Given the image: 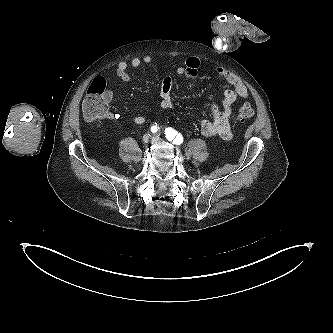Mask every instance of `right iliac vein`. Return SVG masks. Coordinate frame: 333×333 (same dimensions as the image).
Returning a JSON list of instances; mask_svg holds the SVG:
<instances>
[{"label": "right iliac vein", "mask_w": 333, "mask_h": 333, "mask_svg": "<svg viewBox=\"0 0 333 333\" xmlns=\"http://www.w3.org/2000/svg\"><path fill=\"white\" fill-rule=\"evenodd\" d=\"M150 141H152V137H151V135H150V134H145V135L143 136V142H144V143H149Z\"/></svg>", "instance_id": "right-iliac-vein-1"}]
</instances>
